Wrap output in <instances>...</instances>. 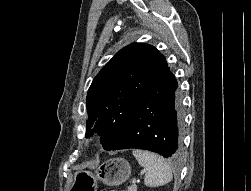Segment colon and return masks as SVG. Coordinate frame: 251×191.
I'll use <instances>...</instances> for the list:
<instances>
[{"mask_svg": "<svg viewBox=\"0 0 251 191\" xmlns=\"http://www.w3.org/2000/svg\"><path fill=\"white\" fill-rule=\"evenodd\" d=\"M102 191H116V189H110V190H108V189L103 188Z\"/></svg>", "mask_w": 251, "mask_h": 191, "instance_id": "5ec220e1", "label": "colon"}]
</instances>
